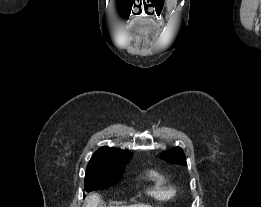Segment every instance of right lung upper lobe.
Returning <instances> with one entry per match:
<instances>
[{
	"label": "right lung upper lobe",
	"instance_id": "right-lung-upper-lobe-1",
	"mask_svg": "<svg viewBox=\"0 0 261 207\" xmlns=\"http://www.w3.org/2000/svg\"><path fill=\"white\" fill-rule=\"evenodd\" d=\"M127 158H132L131 152L105 146L93 154L87 167L108 166Z\"/></svg>",
	"mask_w": 261,
	"mask_h": 207
}]
</instances>
